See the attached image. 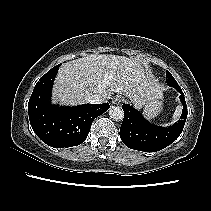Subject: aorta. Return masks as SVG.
Segmentation results:
<instances>
[{
	"label": "aorta",
	"mask_w": 211,
	"mask_h": 211,
	"mask_svg": "<svg viewBox=\"0 0 211 211\" xmlns=\"http://www.w3.org/2000/svg\"><path fill=\"white\" fill-rule=\"evenodd\" d=\"M109 115L112 119L115 120H122L124 117V111L122 110V108L117 107V106H112L109 109Z\"/></svg>",
	"instance_id": "762f6f07"
}]
</instances>
